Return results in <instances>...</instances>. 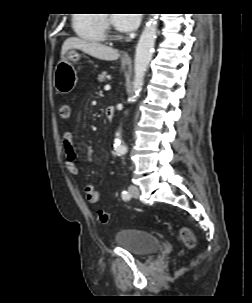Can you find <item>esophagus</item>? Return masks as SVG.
Segmentation results:
<instances>
[{
  "label": "esophagus",
  "mask_w": 252,
  "mask_h": 303,
  "mask_svg": "<svg viewBox=\"0 0 252 303\" xmlns=\"http://www.w3.org/2000/svg\"><path fill=\"white\" fill-rule=\"evenodd\" d=\"M122 59L126 60V61H130L131 60V58H130V56L128 54L123 55Z\"/></svg>",
  "instance_id": "34e87169"
}]
</instances>
